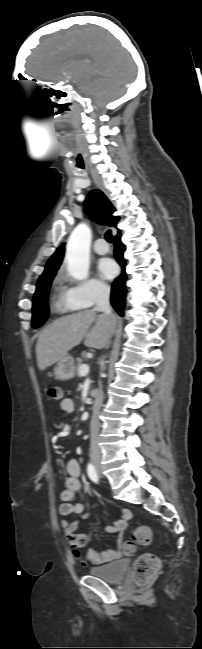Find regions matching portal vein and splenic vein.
I'll use <instances>...</instances> for the list:
<instances>
[{"label": "portal vein and splenic vein", "instance_id": "1", "mask_svg": "<svg viewBox=\"0 0 202 649\" xmlns=\"http://www.w3.org/2000/svg\"><path fill=\"white\" fill-rule=\"evenodd\" d=\"M88 373H89V367H88L87 365H82V366L79 368V374H80L81 376H86Z\"/></svg>", "mask_w": 202, "mask_h": 649}]
</instances>
